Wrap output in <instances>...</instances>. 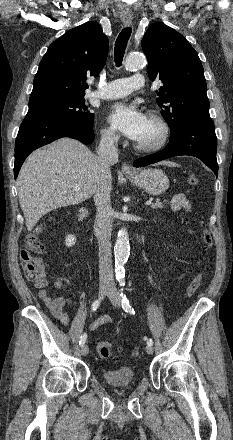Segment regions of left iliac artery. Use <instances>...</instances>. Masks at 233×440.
Wrapping results in <instances>:
<instances>
[{
  "mask_svg": "<svg viewBox=\"0 0 233 440\" xmlns=\"http://www.w3.org/2000/svg\"><path fill=\"white\" fill-rule=\"evenodd\" d=\"M125 285L124 281H120V286L123 287ZM120 296L122 297V308L124 309V311L130 313V314H135L134 309L131 308L128 299L126 298V295L123 293V288H121V293ZM147 344L148 345H153V340L152 339H148L147 340Z\"/></svg>",
  "mask_w": 233,
  "mask_h": 440,
  "instance_id": "left-iliac-artery-1",
  "label": "left iliac artery"
}]
</instances>
